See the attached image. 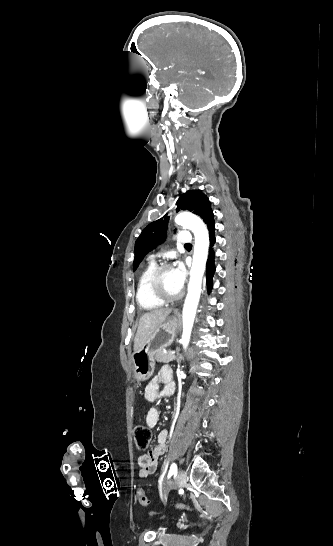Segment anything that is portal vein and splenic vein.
Wrapping results in <instances>:
<instances>
[{
    "instance_id": "obj_1",
    "label": "portal vein and splenic vein",
    "mask_w": 333,
    "mask_h": 546,
    "mask_svg": "<svg viewBox=\"0 0 333 546\" xmlns=\"http://www.w3.org/2000/svg\"><path fill=\"white\" fill-rule=\"evenodd\" d=\"M170 354H175V352H174V351H171Z\"/></svg>"
}]
</instances>
